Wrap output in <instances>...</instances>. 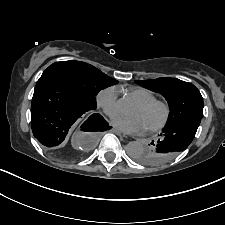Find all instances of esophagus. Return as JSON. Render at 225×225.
I'll return each mask as SVG.
<instances>
[{
  "label": "esophagus",
  "mask_w": 225,
  "mask_h": 225,
  "mask_svg": "<svg viewBox=\"0 0 225 225\" xmlns=\"http://www.w3.org/2000/svg\"><path fill=\"white\" fill-rule=\"evenodd\" d=\"M112 131L118 135H122L123 137H125V135L117 128H113Z\"/></svg>",
  "instance_id": "obj_1"
}]
</instances>
